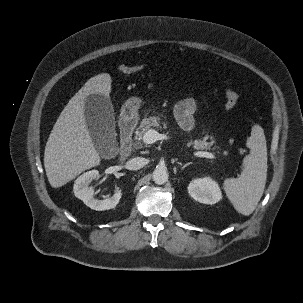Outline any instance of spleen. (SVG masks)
I'll use <instances>...</instances> for the list:
<instances>
[{
    "label": "spleen",
    "instance_id": "spleen-1",
    "mask_svg": "<svg viewBox=\"0 0 303 303\" xmlns=\"http://www.w3.org/2000/svg\"><path fill=\"white\" fill-rule=\"evenodd\" d=\"M246 145L250 154L243 159L240 176L225 179L223 188L234 208L247 216L257 207L267 180V146L260 125L252 127Z\"/></svg>",
    "mask_w": 303,
    "mask_h": 303
}]
</instances>
